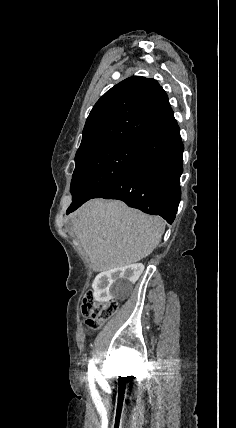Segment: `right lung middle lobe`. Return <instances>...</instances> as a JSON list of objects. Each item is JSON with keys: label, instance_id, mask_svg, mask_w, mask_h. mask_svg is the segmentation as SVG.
<instances>
[{"label": "right lung middle lobe", "instance_id": "1", "mask_svg": "<svg viewBox=\"0 0 236 428\" xmlns=\"http://www.w3.org/2000/svg\"><path fill=\"white\" fill-rule=\"evenodd\" d=\"M139 140H127L89 155L77 162L71 181V210L94 198L130 164L138 152Z\"/></svg>", "mask_w": 236, "mask_h": 428}]
</instances>
